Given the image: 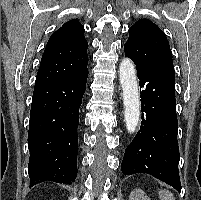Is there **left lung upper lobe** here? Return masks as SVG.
<instances>
[{"label": "left lung upper lobe", "mask_w": 201, "mask_h": 200, "mask_svg": "<svg viewBox=\"0 0 201 200\" xmlns=\"http://www.w3.org/2000/svg\"><path fill=\"white\" fill-rule=\"evenodd\" d=\"M125 56L137 68H173L172 53L164 32L148 19H139L129 29L124 45Z\"/></svg>", "instance_id": "left-lung-upper-lobe-1"}]
</instances>
